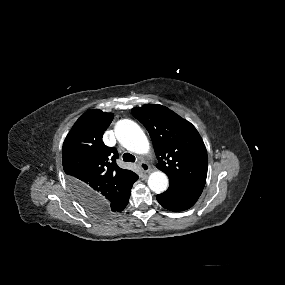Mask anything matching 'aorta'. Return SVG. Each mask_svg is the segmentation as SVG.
Here are the masks:
<instances>
[{
  "label": "aorta",
  "instance_id": "aorta-1",
  "mask_svg": "<svg viewBox=\"0 0 285 285\" xmlns=\"http://www.w3.org/2000/svg\"><path fill=\"white\" fill-rule=\"evenodd\" d=\"M118 141L127 150L137 154H147L149 141L140 126L130 119H122L115 126ZM168 177L161 171H155L148 178V186L155 193H162L168 188Z\"/></svg>",
  "mask_w": 285,
  "mask_h": 285
}]
</instances>
